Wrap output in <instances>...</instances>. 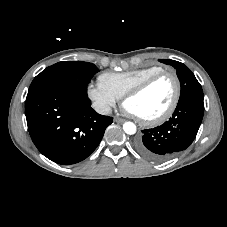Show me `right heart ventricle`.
<instances>
[{
	"label": "right heart ventricle",
	"instance_id": "1",
	"mask_svg": "<svg viewBox=\"0 0 227 227\" xmlns=\"http://www.w3.org/2000/svg\"><path fill=\"white\" fill-rule=\"evenodd\" d=\"M162 70L164 69L160 66H149L127 72H107L100 75L99 83L117 98H121L129 89Z\"/></svg>",
	"mask_w": 227,
	"mask_h": 227
}]
</instances>
